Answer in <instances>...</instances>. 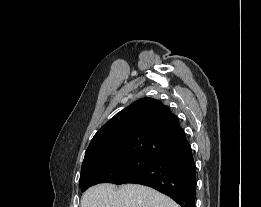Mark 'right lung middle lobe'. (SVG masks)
Segmentation results:
<instances>
[{
  "label": "right lung middle lobe",
  "mask_w": 261,
  "mask_h": 207,
  "mask_svg": "<svg viewBox=\"0 0 261 207\" xmlns=\"http://www.w3.org/2000/svg\"><path fill=\"white\" fill-rule=\"evenodd\" d=\"M157 160L135 155L92 163L81 168L79 186L84 192L90 186L99 183L119 184L125 178L148 168Z\"/></svg>",
  "instance_id": "right-lung-middle-lobe-1"
}]
</instances>
